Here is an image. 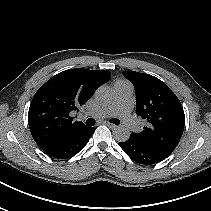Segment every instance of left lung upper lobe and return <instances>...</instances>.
Returning a JSON list of instances; mask_svg holds the SVG:
<instances>
[{"label": "left lung upper lobe", "instance_id": "5c2ea615", "mask_svg": "<svg viewBox=\"0 0 211 211\" xmlns=\"http://www.w3.org/2000/svg\"><path fill=\"white\" fill-rule=\"evenodd\" d=\"M123 74L135 87L137 115L147 121L140 133L131 135L144 146L168 157L178 145L185 125L179 99L154 76L135 71Z\"/></svg>", "mask_w": 211, "mask_h": 211}]
</instances>
